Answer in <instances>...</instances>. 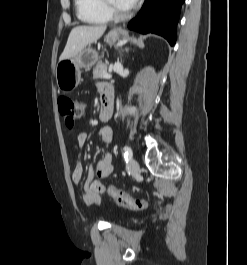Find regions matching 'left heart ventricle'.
Instances as JSON below:
<instances>
[{
	"label": "left heart ventricle",
	"instance_id": "b2bd125f",
	"mask_svg": "<svg viewBox=\"0 0 247 265\" xmlns=\"http://www.w3.org/2000/svg\"><path fill=\"white\" fill-rule=\"evenodd\" d=\"M111 1V3H113L119 10H121V11H125L126 10V8H124L123 6H121L119 3H118V1L117 0H110Z\"/></svg>",
	"mask_w": 247,
	"mask_h": 265
}]
</instances>
